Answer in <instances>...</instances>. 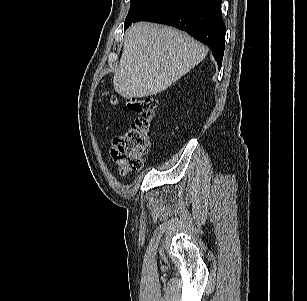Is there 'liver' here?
<instances>
[{
	"mask_svg": "<svg viewBox=\"0 0 307 301\" xmlns=\"http://www.w3.org/2000/svg\"><path fill=\"white\" fill-rule=\"evenodd\" d=\"M207 52L182 31L136 23L127 32L114 89L125 98L156 95L200 63Z\"/></svg>",
	"mask_w": 307,
	"mask_h": 301,
	"instance_id": "6515ba94",
	"label": "liver"
}]
</instances>
